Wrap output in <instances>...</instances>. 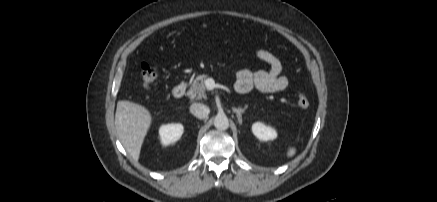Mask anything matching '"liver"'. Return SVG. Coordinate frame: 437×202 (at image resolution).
Segmentation results:
<instances>
[{"label":"liver","instance_id":"1","mask_svg":"<svg viewBox=\"0 0 437 202\" xmlns=\"http://www.w3.org/2000/svg\"><path fill=\"white\" fill-rule=\"evenodd\" d=\"M151 123L152 116L146 107L126 100L118 101L115 114L117 136L135 161L139 159Z\"/></svg>","mask_w":437,"mask_h":202}]
</instances>
